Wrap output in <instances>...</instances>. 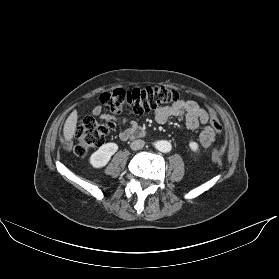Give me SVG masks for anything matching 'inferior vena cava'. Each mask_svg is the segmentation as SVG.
Returning a JSON list of instances; mask_svg holds the SVG:
<instances>
[{"mask_svg":"<svg viewBox=\"0 0 279 279\" xmlns=\"http://www.w3.org/2000/svg\"><path fill=\"white\" fill-rule=\"evenodd\" d=\"M145 145V142L143 140H134L133 142H131V149L132 150H139L141 148H143Z\"/></svg>","mask_w":279,"mask_h":279,"instance_id":"obj_1","label":"inferior vena cava"}]
</instances>
